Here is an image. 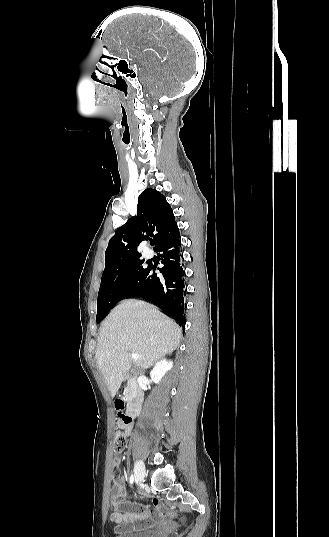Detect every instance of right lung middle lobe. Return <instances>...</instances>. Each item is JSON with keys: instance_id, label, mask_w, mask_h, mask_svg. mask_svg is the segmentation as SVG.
<instances>
[{"instance_id": "dd1d6c3e", "label": "right lung middle lobe", "mask_w": 329, "mask_h": 537, "mask_svg": "<svg viewBox=\"0 0 329 537\" xmlns=\"http://www.w3.org/2000/svg\"><path fill=\"white\" fill-rule=\"evenodd\" d=\"M139 258L128 262L105 266L97 300V322L108 314L118 301L126 298L143 277L146 266Z\"/></svg>"}]
</instances>
